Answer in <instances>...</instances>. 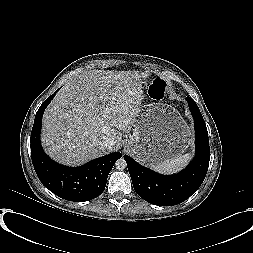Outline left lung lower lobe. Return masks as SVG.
<instances>
[{"instance_id":"left-lung-lower-lobe-1","label":"left lung lower lobe","mask_w":253,"mask_h":253,"mask_svg":"<svg viewBox=\"0 0 253 253\" xmlns=\"http://www.w3.org/2000/svg\"><path fill=\"white\" fill-rule=\"evenodd\" d=\"M194 119L196 155L180 173L160 175L125 155L136 193L149 203L172 206L188 199L202 184L209 166L210 147L206 124L196 102L187 97Z\"/></svg>"}]
</instances>
